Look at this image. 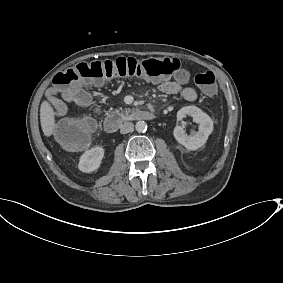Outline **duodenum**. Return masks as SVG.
<instances>
[{
    "instance_id": "410a0bca",
    "label": "duodenum",
    "mask_w": 283,
    "mask_h": 283,
    "mask_svg": "<svg viewBox=\"0 0 283 283\" xmlns=\"http://www.w3.org/2000/svg\"><path fill=\"white\" fill-rule=\"evenodd\" d=\"M136 117L140 120H153L155 119L156 115L151 111H140ZM120 124L121 119L116 114H110L104 118V129L107 133L117 132Z\"/></svg>"
}]
</instances>
